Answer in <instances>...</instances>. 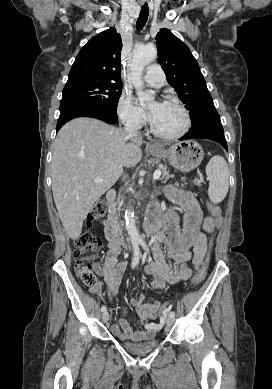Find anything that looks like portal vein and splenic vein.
<instances>
[{
  "instance_id": "obj_1",
  "label": "portal vein and splenic vein",
  "mask_w": 272,
  "mask_h": 389,
  "mask_svg": "<svg viewBox=\"0 0 272 389\" xmlns=\"http://www.w3.org/2000/svg\"><path fill=\"white\" fill-rule=\"evenodd\" d=\"M160 176H161V170L158 169L153 174V180L154 181L158 180L160 178ZM102 181H103V179H100V178L95 179V182H97V183L102 182Z\"/></svg>"
}]
</instances>
